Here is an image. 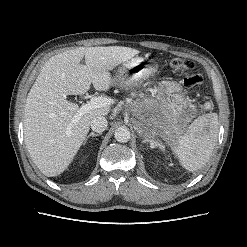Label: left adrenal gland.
I'll return each mask as SVG.
<instances>
[{
    "instance_id": "left-adrenal-gland-1",
    "label": "left adrenal gland",
    "mask_w": 247,
    "mask_h": 247,
    "mask_svg": "<svg viewBox=\"0 0 247 247\" xmlns=\"http://www.w3.org/2000/svg\"><path fill=\"white\" fill-rule=\"evenodd\" d=\"M144 142H149L150 143V147L152 149L159 147L160 149L164 148L163 145L161 143H159L158 141H154V140H144Z\"/></svg>"
}]
</instances>
